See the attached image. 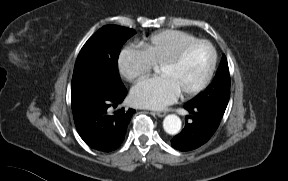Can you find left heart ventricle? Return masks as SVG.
I'll list each match as a JSON object with an SVG mask.
<instances>
[{"label":"left heart ventricle","instance_id":"b2bd125f","mask_svg":"<svg viewBox=\"0 0 288 181\" xmlns=\"http://www.w3.org/2000/svg\"><path fill=\"white\" fill-rule=\"evenodd\" d=\"M212 59V51L207 45H197L178 64L160 66L157 72L167 77L182 92L197 86L205 78Z\"/></svg>","mask_w":288,"mask_h":181}]
</instances>
